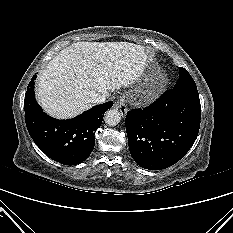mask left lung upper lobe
Listing matches in <instances>:
<instances>
[{
	"label": "left lung upper lobe",
	"mask_w": 233,
	"mask_h": 233,
	"mask_svg": "<svg viewBox=\"0 0 233 233\" xmlns=\"http://www.w3.org/2000/svg\"><path fill=\"white\" fill-rule=\"evenodd\" d=\"M185 89H197V87L188 71L182 67H179V79L173 90L175 92H180Z\"/></svg>",
	"instance_id": "obj_1"
}]
</instances>
